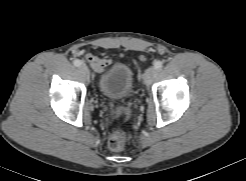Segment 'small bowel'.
<instances>
[{"instance_id": "obj_1", "label": "small bowel", "mask_w": 246, "mask_h": 181, "mask_svg": "<svg viewBox=\"0 0 246 181\" xmlns=\"http://www.w3.org/2000/svg\"><path fill=\"white\" fill-rule=\"evenodd\" d=\"M86 59L92 68L99 73L105 71L110 66V60L106 58H99L93 54H88Z\"/></svg>"}]
</instances>
